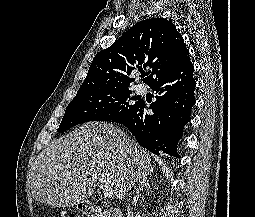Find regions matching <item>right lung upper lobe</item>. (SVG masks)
I'll return each instance as SVG.
<instances>
[{
  "mask_svg": "<svg viewBox=\"0 0 255 217\" xmlns=\"http://www.w3.org/2000/svg\"><path fill=\"white\" fill-rule=\"evenodd\" d=\"M189 59V50L176 26L164 18L136 23L110 47L96 54L79 93L129 87V75L147 67L148 85Z\"/></svg>",
  "mask_w": 255,
  "mask_h": 217,
  "instance_id": "1",
  "label": "right lung upper lobe"
}]
</instances>
